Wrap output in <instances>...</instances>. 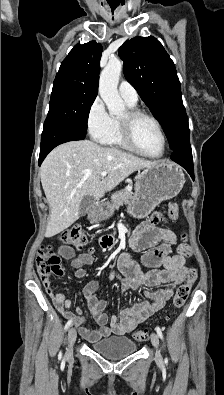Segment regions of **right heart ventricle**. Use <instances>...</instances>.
Here are the masks:
<instances>
[{"label": "right heart ventricle", "mask_w": 224, "mask_h": 395, "mask_svg": "<svg viewBox=\"0 0 224 395\" xmlns=\"http://www.w3.org/2000/svg\"><path fill=\"white\" fill-rule=\"evenodd\" d=\"M130 108H134L135 104L127 103ZM104 145L116 147L125 150H131L122 138L120 130L119 118L112 117V126L110 131L100 140Z\"/></svg>", "instance_id": "1"}]
</instances>
